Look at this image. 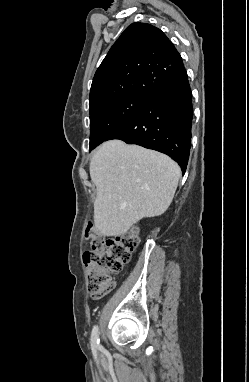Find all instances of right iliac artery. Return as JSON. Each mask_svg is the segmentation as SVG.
Listing matches in <instances>:
<instances>
[{
  "label": "right iliac artery",
  "mask_w": 249,
  "mask_h": 382,
  "mask_svg": "<svg viewBox=\"0 0 249 382\" xmlns=\"http://www.w3.org/2000/svg\"><path fill=\"white\" fill-rule=\"evenodd\" d=\"M91 346L96 348L99 346V329L98 326H94L91 334Z\"/></svg>",
  "instance_id": "obj_1"
}]
</instances>
